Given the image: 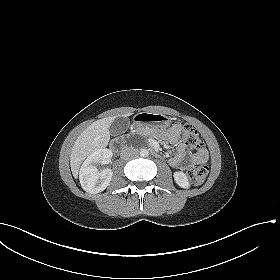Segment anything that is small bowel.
Returning a JSON list of instances; mask_svg holds the SVG:
<instances>
[{"instance_id": "small-bowel-1", "label": "small bowel", "mask_w": 280, "mask_h": 280, "mask_svg": "<svg viewBox=\"0 0 280 280\" xmlns=\"http://www.w3.org/2000/svg\"><path fill=\"white\" fill-rule=\"evenodd\" d=\"M166 137L176 147V153L169 160L172 167L186 169L191 165L204 164L208 161V152L204 148L193 154L186 152L185 144L181 140L180 126L170 127L167 130Z\"/></svg>"}]
</instances>
